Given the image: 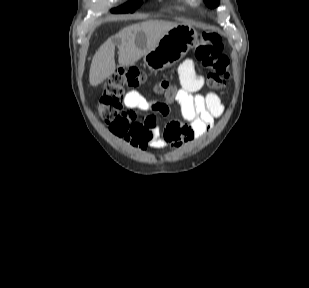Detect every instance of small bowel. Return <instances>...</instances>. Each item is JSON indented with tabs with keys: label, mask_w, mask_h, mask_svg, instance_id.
I'll list each match as a JSON object with an SVG mask.
<instances>
[{
	"label": "small bowel",
	"mask_w": 309,
	"mask_h": 288,
	"mask_svg": "<svg viewBox=\"0 0 309 288\" xmlns=\"http://www.w3.org/2000/svg\"><path fill=\"white\" fill-rule=\"evenodd\" d=\"M181 88L175 94L184 122L170 121L163 130L157 126V115L169 114V106L164 102L146 100L139 92L129 91L124 103L130 110H140L149 114L144 120L131 115L129 121L117 120L111 123V132L131 147L145 151L149 148L162 149L167 146L179 148L199 139L213 128L214 120L224 112L219 96L214 92L199 93L203 87V77L194 71L190 59L177 68Z\"/></svg>",
	"instance_id": "small-bowel-1"
}]
</instances>
